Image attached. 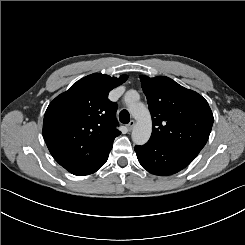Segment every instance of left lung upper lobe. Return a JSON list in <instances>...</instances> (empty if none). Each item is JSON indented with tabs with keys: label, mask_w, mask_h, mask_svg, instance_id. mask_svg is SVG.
<instances>
[{
	"label": "left lung upper lobe",
	"mask_w": 245,
	"mask_h": 245,
	"mask_svg": "<svg viewBox=\"0 0 245 245\" xmlns=\"http://www.w3.org/2000/svg\"><path fill=\"white\" fill-rule=\"evenodd\" d=\"M140 80L153 122L149 141L194 159L205 146L213 125L207 101L168 77L142 75Z\"/></svg>",
	"instance_id": "obj_1"
}]
</instances>
